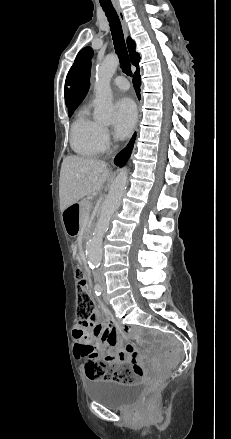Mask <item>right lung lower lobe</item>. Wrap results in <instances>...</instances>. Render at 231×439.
Here are the masks:
<instances>
[{
    "label": "right lung lower lobe",
    "mask_w": 231,
    "mask_h": 439,
    "mask_svg": "<svg viewBox=\"0 0 231 439\" xmlns=\"http://www.w3.org/2000/svg\"><path fill=\"white\" fill-rule=\"evenodd\" d=\"M133 84H134V88L136 90V94H137L138 98L140 99L141 78L139 75V67L135 71L134 78H133ZM134 140H135V135L132 137L129 144L116 156V158L114 160L116 165L123 166L126 163L127 159L130 156V153L132 151Z\"/></svg>",
    "instance_id": "1"
}]
</instances>
